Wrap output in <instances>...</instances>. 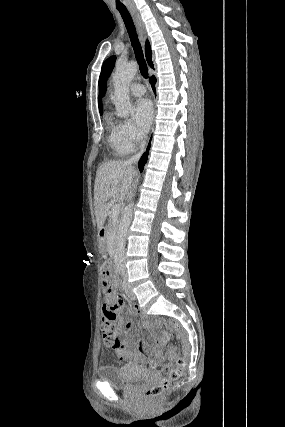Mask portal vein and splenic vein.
<instances>
[{
    "label": "portal vein and splenic vein",
    "instance_id": "1",
    "mask_svg": "<svg viewBox=\"0 0 285 427\" xmlns=\"http://www.w3.org/2000/svg\"><path fill=\"white\" fill-rule=\"evenodd\" d=\"M119 210H120V205L119 204H115L112 208V216L114 219L117 218L118 214H119Z\"/></svg>",
    "mask_w": 285,
    "mask_h": 427
}]
</instances>
